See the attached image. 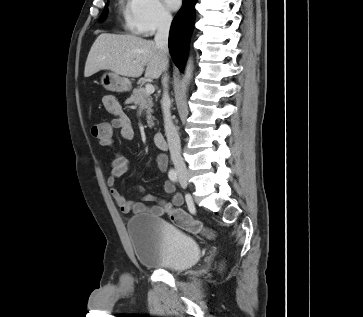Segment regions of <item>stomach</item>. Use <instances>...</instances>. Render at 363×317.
Instances as JSON below:
<instances>
[{"instance_id": "stomach-1", "label": "stomach", "mask_w": 363, "mask_h": 317, "mask_svg": "<svg viewBox=\"0 0 363 317\" xmlns=\"http://www.w3.org/2000/svg\"><path fill=\"white\" fill-rule=\"evenodd\" d=\"M101 84L109 91L126 92L131 90V82L114 72H106L101 77Z\"/></svg>"}]
</instances>
